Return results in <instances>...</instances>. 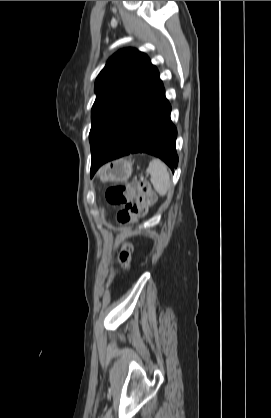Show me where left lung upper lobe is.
Masks as SVG:
<instances>
[{"instance_id": "obj_1", "label": "left lung upper lobe", "mask_w": 271, "mask_h": 418, "mask_svg": "<svg viewBox=\"0 0 271 418\" xmlns=\"http://www.w3.org/2000/svg\"><path fill=\"white\" fill-rule=\"evenodd\" d=\"M158 79L157 68L137 49H122L108 60L95 81L89 134L92 157Z\"/></svg>"}]
</instances>
